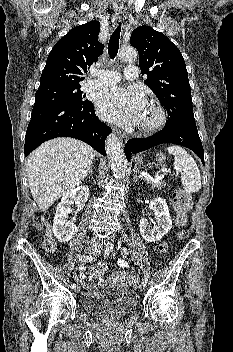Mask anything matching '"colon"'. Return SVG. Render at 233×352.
Segmentation results:
<instances>
[{"instance_id": "obj_1", "label": "colon", "mask_w": 233, "mask_h": 352, "mask_svg": "<svg viewBox=\"0 0 233 352\" xmlns=\"http://www.w3.org/2000/svg\"><path fill=\"white\" fill-rule=\"evenodd\" d=\"M161 161L164 160V157L160 158ZM192 207V197L191 195L183 190L177 189L173 195V208L175 212V225L177 228L181 229L186 226L188 221V214ZM44 248L52 252L55 248V244L50 236H47L43 240ZM167 246L162 245L161 251L165 252ZM107 265L105 263H100L92 266L89 270V279H99L107 270Z\"/></svg>"}]
</instances>
